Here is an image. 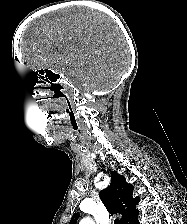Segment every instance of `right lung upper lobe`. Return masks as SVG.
<instances>
[{
	"label": "right lung upper lobe",
	"instance_id": "1",
	"mask_svg": "<svg viewBox=\"0 0 187 224\" xmlns=\"http://www.w3.org/2000/svg\"><path fill=\"white\" fill-rule=\"evenodd\" d=\"M133 186L128 184L122 175L113 171L111 173V184L100 191L99 196L111 214L122 215V224H131L138 217L136 205L139 198H133ZM79 213H74L69 224H76Z\"/></svg>",
	"mask_w": 187,
	"mask_h": 224
}]
</instances>
